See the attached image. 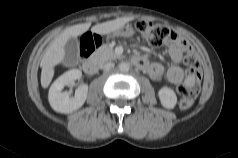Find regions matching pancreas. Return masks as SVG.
Masks as SVG:
<instances>
[{"label":"pancreas","mask_w":238,"mask_h":158,"mask_svg":"<svg viewBox=\"0 0 238 158\" xmlns=\"http://www.w3.org/2000/svg\"><path fill=\"white\" fill-rule=\"evenodd\" d=\"M92 58L103 63L108 60L121 58V56L117 55L111 46L103 45L93 53Z\"/></svg>","instance_id":"1"}]
</instances>
